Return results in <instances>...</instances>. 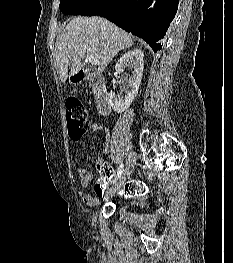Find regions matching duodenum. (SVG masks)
Listing matches in <instances>:
<instances>
[{
	"label": "duodenum",
	"instance_id": "1",
	"mask_svg": "<svg viewBox=\"0 0 233 263\" xmlns=\"http://www.w3.org/2000/svg\"><path fill=\"white\" fill-rule=\"evenodd\" d=\"M74 80L76 82L90 80L93 84V91L98 112L102 115H107L110 113L111 106L109 102L108 91L105 81L100 75L80 70L74 75Z\"/></svg>",
	"mask_w": 233,
	"mask_h": 263
}]
</instances>
